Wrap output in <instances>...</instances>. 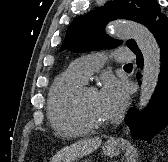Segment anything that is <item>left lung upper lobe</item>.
Listing matches in <instances>:
<instances>
[{
  "label": "left lung upper lobe",
  "instance_id": "obj_1",
  "mask_svg": "<svg viewBox=\"0 0 168 162\" xmlns=\"http://www.w3.org/2000/svg\"><path fill=\"white\" fill-rule=\"evenodd\" d=\"M164 14L155 0H113L103 7L74 19L69 25L60 51L66 49L81 53L120 45L104 33L105 25L117 18L133 20L149 28ZM126 45L134 51L137 44L128 40Z\"/></svg>",
  "mask_w": 168,
  "mask_h": 162
}]
</instances>
